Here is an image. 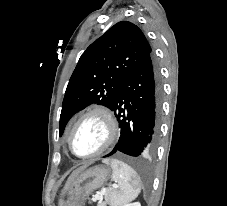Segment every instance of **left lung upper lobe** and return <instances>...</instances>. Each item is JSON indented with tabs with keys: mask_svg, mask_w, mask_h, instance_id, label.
<instances>
[{
	"mask_svg": "<svg viewBox=\"0 0 227 206\" xmlns=\"http://www.w3.org/2000/svg\"><path fill=\"white\" fill-rule=\"evenodd\" d=\"M151 47L135 24L121 21L81 55L69 80L60 115L59 136L69 119L92 103L112 109L125 79L149 56Z\"/></svg>",
	"mask_w": 227,
	"mask_h": 206,
	"instance_id": "obj_1",
	"label": "left lung upper lobe"
}]
</instances>
